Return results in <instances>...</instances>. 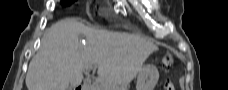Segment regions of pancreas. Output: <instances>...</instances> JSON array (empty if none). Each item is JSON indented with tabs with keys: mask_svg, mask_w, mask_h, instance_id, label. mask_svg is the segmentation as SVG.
Here are the masks:
<instances>
[{
	"mask_svg": "<svg viewBox=\"0 0 228 90\" xmlns=\"http://www.w3.org/2000/svg\"><path fill=\"white\" fill-rule=\"evenodd\" d=\"M106 86V83L105 82H103L102 80H100V79H97L96 80V82L92 85V86H90V90H95L96 88H104ZM117 90H122V89H124V88H116Z\"/></svg>",
	"mask_w": 228,
	"mask_h": 90,
	"instance_id": "obj_1",
	"label": "pancreas"
}]
</instances>
